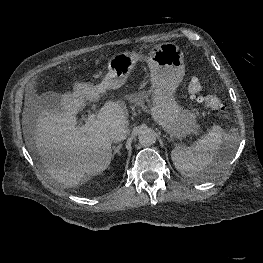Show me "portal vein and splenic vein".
Wrapping results in <instances>:
<instances>
[{
    "instance_id": "18ae733b",
    "label": "portal vein and splenic vein",
    "mask_w": 263,
    "mask_h": 263,
    "mask_svg": "<svg viewBox=\"0 0 263 263\" xmlns=\"http://www.w3.org/2000/svg\"><path fill=\"white\" fill-rule=\"evenodd\" d=\"M95 121V114L92 112V113H89L88 114V117H87V122L85 125L81 126L79 129L82 131V132H87L89 130V128L91 127V125L94 123Z\"/></svg>"
}]
</instances>
